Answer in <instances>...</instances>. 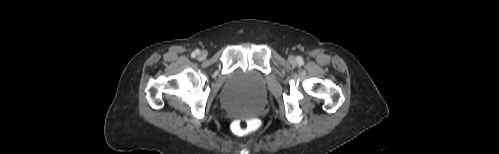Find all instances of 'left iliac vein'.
Returning <instances> with one entry per match:
<instances>
[{"instance_id": "4c4485c4", "label": "left iliac vein", "mask_w": 499, "mask_h": 154, "mask_svg": "<svg viewBox=\"0 0 499 154\" xmlns=\"http://www.w3.org/2000/svg\"><path fill=\"white\" fill-rule=\"evenodd\" d=\"M289 61H290V62H294V61H295V57H294V56H292V55H291V56H289Z\"/></svg>"}]
</instances>
